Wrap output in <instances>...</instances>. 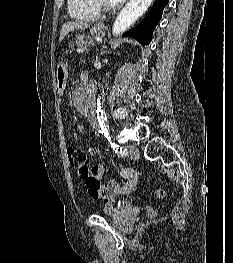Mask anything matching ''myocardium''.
<instances>
[{
	"label": "myocardium",
	"instance_id": "obj_1",
	"mask_svg": "<svg viewBox=\"0 0 233 263\" xmlns=\"http://www.w3.org/2000/svg\"><path fill=\"white\" fill-rule=\"evenodd\" d=\"M94 6L99 12H112L116 9V5L107 4L104 0H93Z\"/></svg>",
	"mask_w": 233,
	"mask_h": 263
}]
</instances>
